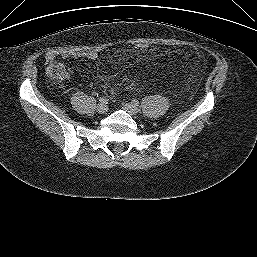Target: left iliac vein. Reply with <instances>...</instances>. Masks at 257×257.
<instances>
[{
    "instance_id": "left-iliac-vein-1",
    "label": "left iliac vein",
    "mask_w": 257,
    "mask_h": 257,
    "mask_svg": "<svg viewBox=\"0 0 257 257\" xmlns=\"http://www.w3.org/2000/svg\"><path fill=\"white\" fill-rule=\"evenodd\" d=\"M123 109L132 116H136L139 112L138 108L132 103H124Z\"/></svg>"
}]
</instances>
